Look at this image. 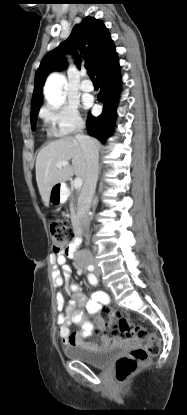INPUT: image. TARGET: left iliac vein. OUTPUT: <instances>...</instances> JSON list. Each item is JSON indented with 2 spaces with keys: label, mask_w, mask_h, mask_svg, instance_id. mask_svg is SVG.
I'll list each match as a JSON object with an SVG mask.
<instances>
[{
  "label": "left iliac vein",
  "mask_w": 187,
  "mask_h": 415,
  "mask_svg": "<svg viewBox=\"0 0 187 415\" xmlns=\"http://www.w3.org/2000/svg\"><path fill=\"white\" fill-rule=\"evenodd\" d=\"M94 273H95V275H96L97 277H99V276H100V269H99V268H95Z\"/></svg>",
  "instance_id": "obj_1"
}]
</instances>
